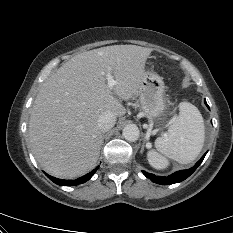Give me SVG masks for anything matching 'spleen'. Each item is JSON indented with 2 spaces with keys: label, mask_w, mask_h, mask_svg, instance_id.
<instances>
[{
  "label": "spleen",
  "mask_w": 233,
  "mask_h": 233,
  "mask_svg": "<svg viewBox=\"0 0 233 233\" xmlns=\"http://www.w3.org/2000/svg\"><path fill=\"white\" fill-rule=\"evenodd\" d=\"M179 110V116L168 132L155 140L157 151L147 154L150 165L156 169L166 168L169 164L167 158L181 164L191 163L203 148L205 127L200 111L188 102L180 103Z\"/></svg>",
  "instance_id": "1"
}]
</instances>
